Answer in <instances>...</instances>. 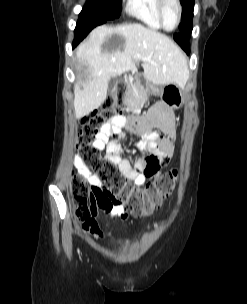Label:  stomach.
Returning <instances> with one entry per match:
<instances>
[{
	"mask_svg": "<svg viewBox=\"0 0 247 304\" xmlns=\"http://www.w3.org/2000/svg\"><path fill=\"white\" fill-rule=\"evenodd\" d=\"M155 93L160 96L161 100L171 109L180 108L184 103V96L181 88L174 83L155 88Z\"/></svg>",
	"mask_w": 247,
	"mask_h": 304,
	"instance_id": "1",
	"label": "stomach"
}]
</instances>
